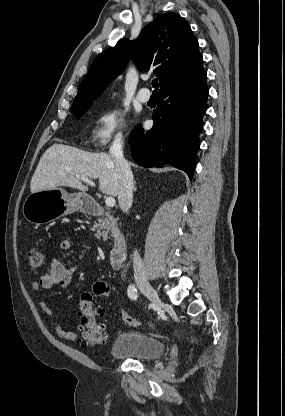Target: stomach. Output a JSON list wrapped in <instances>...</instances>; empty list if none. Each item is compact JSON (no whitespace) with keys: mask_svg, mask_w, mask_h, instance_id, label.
<instances>
[{"mask_svg":"<svg viewBox=\"0 0 285 416\" xmlns=\"http://www.w3.org/2000/svg\"><path fill=\"white\" fill-rule=\"evenodd\" d=\"M82 208L81 194H68L63 188L43 190L27 196L22 212L31 224H49Z\"/></svg>","mask_w":285,"mask_h":416,"instance_id":"1","label":"stomach"}]
</instances>
